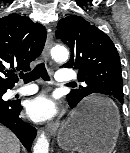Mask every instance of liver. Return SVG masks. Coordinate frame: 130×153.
Instances as JSON below:
<instances>
[{
  "label": "liver",
  "mask_w": 130,
  "mask_h": 153,
  "mask_svg": "<svg viewBox=\"0 0 130 153\" xmlns=\"http://www.w3.org/2000/svg\"><path fill=\"white\" fill-rule=\"evenodd\" d=\"M0 153H20L19 140L2 125H0Z\"/></svg>",
  "instance_id": "liver-1"
}]
</instances>
